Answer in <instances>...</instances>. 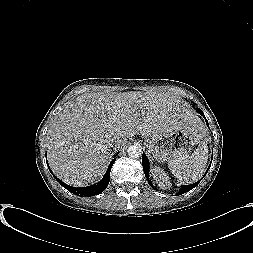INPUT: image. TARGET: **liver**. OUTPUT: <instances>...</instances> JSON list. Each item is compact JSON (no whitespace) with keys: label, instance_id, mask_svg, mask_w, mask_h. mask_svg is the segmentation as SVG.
<instances>
[{"label":"liver","instance_id":"obj_1","mask_svg":"<svg viewBox=\"0 0 253 253\" xmlns=\"http://www.w3.org/2000/svg\"><path fill=\"white\" fill-rule=\"evenodd\" d=\"M180 126L206 134L201 119L170 93H85L68 102L48 130V162L63 182L87 186L100 180L107 168L114 148L111 135H120L125 145L135 134L147 136Z\"/></svg>","mask_w":253,"mask_h":253}]
</instances>
